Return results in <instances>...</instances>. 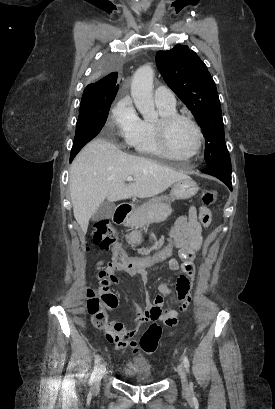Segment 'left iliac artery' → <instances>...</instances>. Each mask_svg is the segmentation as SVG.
Listing matches in <instances>:
<instances>
[{"mask_svg":"<svg viewBox=\"0 0 275 409\" xmlns=\"http://www.w3.org/2000/svg\"><path fill=\"white\" fill-rule=\"evenodd\" d=\"M183 364H184V366H185L187 372H189L190 363H189V359H188L187 356H183ZM191 385H192V383H191Z\"/></svg>","mask_w":275,"mask_h":409,"instance_id":"left-iliac-artery-1","label":"left iliac artery"}]
</instances>
